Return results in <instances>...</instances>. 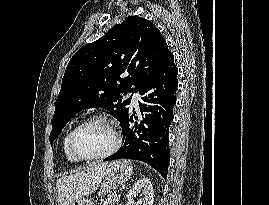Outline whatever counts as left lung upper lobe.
Masks as SVG:
<instances>
[{"label":"left lung upper lobe","instance_id":"5c2ea615","mask_svg":"<svg viewBox=\"0 0 269 205\" xmlns=\"http://www.w3.org/2000/svg\"><path fill=\"white\" fill-rule=\"evenodd\" d=\"M171 52L160 31L148 20L131 16L70 59L55 103L50 143L76 113L101 107L122 123L131 97L160 70Z\"/></svg>","mask_w":269,"mask_h":205}]
</instances>
